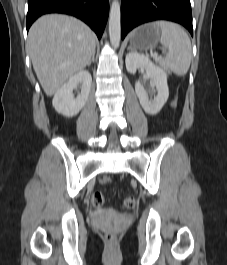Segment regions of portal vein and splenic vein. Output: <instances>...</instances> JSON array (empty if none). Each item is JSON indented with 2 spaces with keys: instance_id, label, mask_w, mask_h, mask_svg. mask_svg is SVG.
<instances>
[{
  "instance_id": "1",
  "label": "portal vein and splenic vein",
  "mask_w": 227,
  "mask_h": 265,
  "mask_svg": "<svg viewBox=\"0 0 227 265\" xmlns=\"http://www.w3.org/2000/svg\"><path fill=\"white\" fill-rule=\"evenodd\" d=\"M155 60L158 61V60H159V57L156 56V57H155Z\"/></svg>"
}]
</instances>
